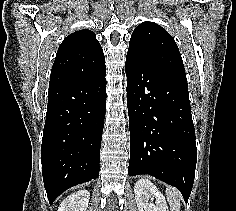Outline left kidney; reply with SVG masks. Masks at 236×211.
<instances>
[{
  "instance_id": "obj_1",
  "label": "left kidney",
  "mask_w": 236,
  "mask_h": 211,
  "mask_svg": "<svg viewBox=\"0 0 236 211\" xmlns=\"http://www.w3.org/2000/svg\"><path fill=\"white\" fill-rule=\"evenodd\" d=\"M134 193L139 211H169L164 196L150 180H138ZM150 199L155 202H149Z\"/></svg>"
}]
</instances>
